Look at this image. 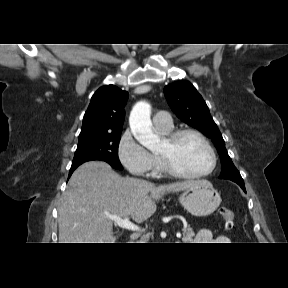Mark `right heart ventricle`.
I'll use <instances>...</instances> for the list:
<instances>
[{"label":"right heart ventricle","mask_w":288,"mask_h":288,"mask_svg":"<svg viewBox=\"0 0 288 288\" xmlns=\"http://www.w3.org/2000/svg\"><path fill=\"white\" fill-rule=\"evenodd\" d=\"M157 130L163 135H168L172 131V129L167 130V131L159 130V129H157ZM155 159H156V170H157V172L158 173L164 172L163 167L161 165V162H160L158 156H155Z\"/></svg>","instance_id":"obj_1"}]
</instances>
